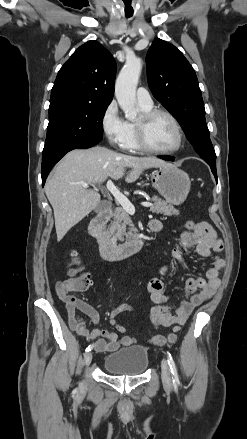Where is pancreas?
I'll use <instances>...</instances> for the list:
<instances>
[{
	"label": "pancreas",
	"instance_id": "pancreas-1",
	"mask_svg": "<svg viewBox=\"0 0 247 439\" xmlns=\"http://www.w3.org/2000/svg\"><path fill=\"white\" fill-rule=\"evenodd\" d=\"M152 201L154 204L150 210L156 214H163L165 216L178 215L179 211L172 205L167 204L166 201L160 199L158 196H153ZM137 229L133 226L132 220L129 214L123 208H116L114 212V221L111 222L108 234L114 241H123L134 236Z\"/></svg>",
	"mask_w": 247,
	"mask_h": 439
}]
</instances>
